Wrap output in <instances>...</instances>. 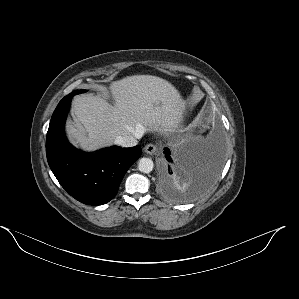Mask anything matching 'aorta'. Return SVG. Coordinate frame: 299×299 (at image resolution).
<instances>
[{"label":"aorta","mask_w":299,"mask_h":299,"mask_svg":"<svg viewBox=\"0 0 299 299\" xmlns=\"http://www.w3.org/2000/svg\"><path fill=\"white\" fill-rule=\"evenodd\" d=\"M154 164L150 158H141L138 162V169L143 173H150L153 170Z\"/></svg>","instance_id":"aorta-1"}]
</instances>
